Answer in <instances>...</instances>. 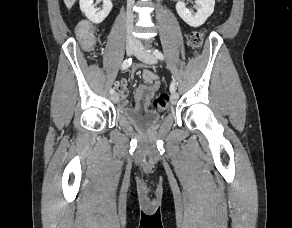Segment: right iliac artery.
Masks as SVG:
<instances>
[{"instance_id": "1", "label": "right iliac artery", "mask_w": 292, "mask_h": 228, "mask_svg": "<svg viewBox=\"0 0 292 228\" xmlns=\"http://www.w3.org/2000/svg\"><path fill=\"white\" fill-rule=\"evenodd\" d=\"M132 64V58L126 59L123 61L121 68L123 70L128 69L130 67V65ZM115 92L114 88L110 89V93L113 94Z\"/></svg>"}]
</instances>
